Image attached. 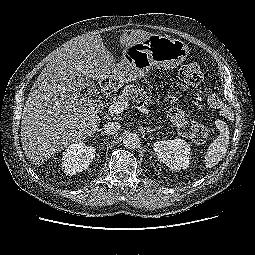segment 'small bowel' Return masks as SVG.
<instances>
[{"mask_svg":"<svg viewBox=\"0 0 255 255\" xmlns=\"http://www.w3.org/2000/svg\"><path fill=\"white\" fill-rule=\"evenodd\" d=\"M221 104H219L218 106H212V107H220Z\"/></svg>","mask_w":255,"mask_h":255,"instance_id":"obj_1","label":"small bowel"}]
</instances>
